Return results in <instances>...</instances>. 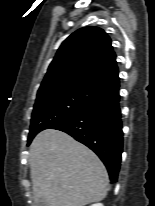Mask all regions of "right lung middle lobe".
Returning <instances> with one entry per match:
<instances>
[{
    "mask_svg": "<svg viewBox=\"0 0 155 206\" xmlns=\"http://www.w3.org/2000/svg\"><path fill=\"white\" fill-rule=\"evenodd\" d=\"M104 95L88 86H70L38 92L28 145L37 133L76 115Z\"/></svg>",
    "mask_w": 155,
    "mask_h": 206,
    "instance_id": "right-lung-middle-lobe-1",
    "label": "right lung middle lobe"
}]
</instances>
